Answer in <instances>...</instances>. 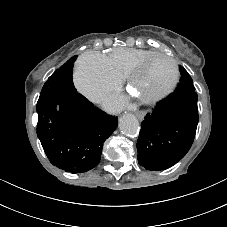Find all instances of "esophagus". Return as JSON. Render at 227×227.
Returning <instances> with one entry per match:
<instances>
[{"instance_id": "1", "label": "esophagus", "mask_w": 227, "mask_h": 227, "mask_svg": "<svg viewBox=\"0 0 227 227\" xmlns=\"http://www.w3.org/2000/svg\"><path fill=\"white\" fill-rule=\"evenodd\" d=\"M137 117H138L140 120H143L144 117H145V112H144V111H139V112H137Z\"/></svg>"}]
</instances>
